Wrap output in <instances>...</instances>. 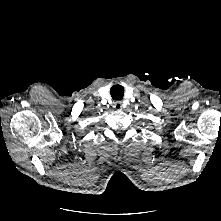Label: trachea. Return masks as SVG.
<instances>
[{
  "mask_svg": "<svg viewBox=\"0 0 221 221\" xmlns=\"http://www.w3.org/2000/svg\"><path fill=\"white\" fill-rule=\"evenodd\" d=\"M110 94L114 100H122L124 96V87L121 85H114L110 89Z\"/></svg>",
  "mask_w": 221,
  "mask_h": 221,
  "instance_id": "1",
  "label": "trachea"
}]
</instances>
